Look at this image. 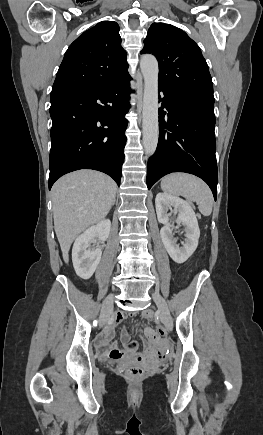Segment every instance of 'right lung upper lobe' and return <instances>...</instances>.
I'll use <instances>...</instances> for the list:
<instances>
[{
    "mask_svg": "<svg viewBox=\"0 0 263 435\" xmlns=\"http://www.w3.org/2000/svg\"><path fill=\"white\" fill-rule=\"evenodd\" d=\"M126 59L119 25L114 21L99 22L66 51L50 100L79 94L123 77L128 74Z\"/></svg>",
    "mask_w": 263,
    "mask_h": 435,
    "instance_id": "right-lung-upper-lobe-1",
    "label": "right lung upper lobe"
}]
</instances>
